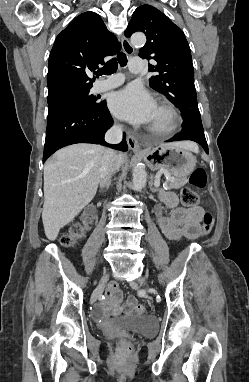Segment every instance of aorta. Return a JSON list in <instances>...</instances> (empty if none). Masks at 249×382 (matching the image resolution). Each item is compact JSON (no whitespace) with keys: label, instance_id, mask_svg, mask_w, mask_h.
<instances>
[{"label":"aorta","instance_id":"obj_1","mask_svg":"<svg viewBox=\"0 0 249 382\" xmlns=\"http://www.w3.org/2000/svg\"><path fill=\"white\" fill-rule=\"evenodd\" d=\"M131 42L133 45L142 46L146 42V37L142 33L132 35ZM133 174V189L140 191L144 188L147 181V173L141 165H136L132 171Z\"/></svg>","mask_w":249,"mask_h":382}]
</instances>
